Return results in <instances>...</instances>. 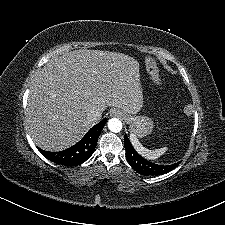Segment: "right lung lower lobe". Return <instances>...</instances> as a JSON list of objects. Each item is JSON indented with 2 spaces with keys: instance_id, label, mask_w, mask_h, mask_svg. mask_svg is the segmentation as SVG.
<instances>
[{
  "instance_id": "98d812e1",
  "label": "right lung lower lobe",
  "mask_w": 225,
  "mask_h": 225,
  "mask_svg": "<svg viewBox=\"0 0 225 225\" xmlns=\"http://www.w3.org/2000/svg\"><path fill=\"white\" fill-rule=\"evenodd\" d=\"M107 122V119H103L101 122L93 126L87 134L72 147L59 151L48 152L40 148L38 150L49 160L65 166H77L85 162L93 154L97 145L98 137Z\"/></svg>"
}]
</instances>
